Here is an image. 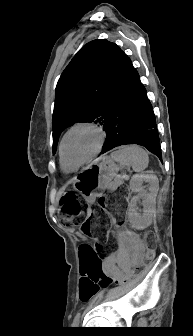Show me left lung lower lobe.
Instances as JSON below:
<instances>
[{"label": "left lung lower lobe", "mask_w": 193, "mask_h": 336, "mask_svg": "<svg viewBox=\"0 0 193 336\" xmlns=\"http://www.w3.org/2000/svg\"><path fill=\"white\" fill-rule=\"evenodd\" d=\"M103 129L107 138L101 154L117 146L137 144L162 161L153 108L130 59Z\"/></svg>", "instance_id": "obj_1"}]
</instances>
